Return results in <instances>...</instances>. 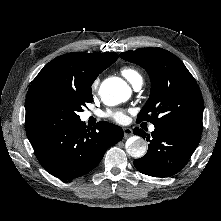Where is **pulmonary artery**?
<instances>
[{
    "label": "pulmonary artery",
    "instance_id": "obj_1",
    "mask_svg": "<svg viewBox=\"0 0 221 221\" xmlns=\"http://www.w3.org/2000/svg\"><path fill=\"white\" fill-rule=\"evenodd\" d=\"M141 86H142V82H139V83L135 84L133 87H134L135 90H139L141 88ZM154 129H155L154 126L150 127V131H154Z\"/></svg>",
    "mask_w": 221,
    "mask_h": 221
}]
</instances>
